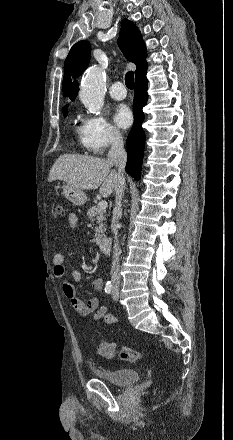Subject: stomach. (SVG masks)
<instances>
[{
	"instance_id": "0dacf381",
	"label": "stomach",
	"mask_w": 233,
	"mask_h": 440,
	"mask_svg": "<svg viewBox=\"0 0 233 440\" xmlns=\"http://www.w3.org/2000/svg\"><path fill=\"white\" fill-rule=\"evenodd\" d=\"M62 194L67 200L77 206H83L87 201V196L82 190L68 184L62 186Z\"/></svg>"
}]
</instances>
